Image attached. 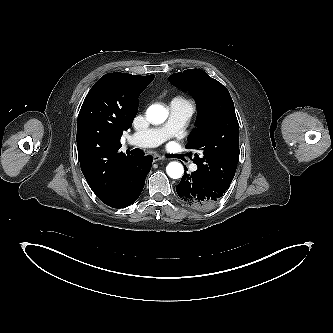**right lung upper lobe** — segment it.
Instances as JSON below:
<instances>
[{"mask_svg": "<svg viewBox=\"0 0 333 333\" xmlns=\"http://www.w3.org/2000/svg\"><path fill=\"white\" fill-rule=\"evenodd\" d=\"M154 75L105 74L87 94L77 120V149L88 184L103 201L117 189L124 164L133 156L120 152L123 131L132 126L138 97Z\"/></svg>", "mask_w": 333, "mask_h": 333, "instance_id": "1", "label": "right lung upper lobe"}]
</instances>
